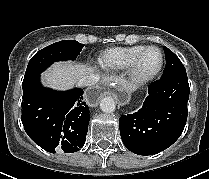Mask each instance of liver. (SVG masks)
Here are the masks:
<instances>
[{
	"instance_id": "1",
	"label": "liver",
	"mask_w": 209,
	"mask_h": 179,
	"mask_svg": "<svg viewBox=\"0 0 209 179\" xmlns=\"http://www.w3.org/2000/svg\"><path fill=\"white\" fill-rule=\"evenodd\" d=\"M93 72L94 69L92 67L84 64L57 62L42 74V81L45 86L65 90L78 83L82 77ZM112 80V77L104 78L105 82H111ZM122 83L125 84L124 81Z\"/></svg>"
}]
</instances>
